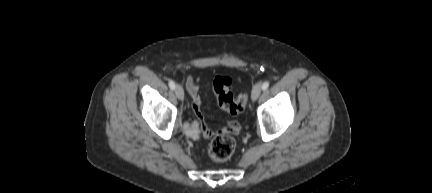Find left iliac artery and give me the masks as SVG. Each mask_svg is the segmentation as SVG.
I'll return each mask as SVG.
<instances>
[{
	"mask_svg": "<svg viewBox=\"0 0 432 193\" xmlns=\"http://www.w3.org/2000/svg\"><path fill=\"white\" fill-rule=\"evenodd\" d=\"M268 87H269V82H268V81H265V82L263 83V85H262V89L265 91V90L268 89Z\"/></svg>",
	"mask_w": 432,
	"mask_h": 193,
	"instance_id": "44dca946",
	"label": "left iliac artery"
}]
</instances>
